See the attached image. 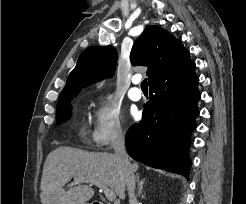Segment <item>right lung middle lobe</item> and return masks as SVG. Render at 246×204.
Masks as SVG:
<instances>
[{
	"label": "right lung middle lobe",
	"instance_id": "right-lung-middle-lobe-1",
	"mask_svg": "<svg viewBox=\"0 0 246 204\" xmlns=\"http://www.w3.org/2000/svg\"><path fill=\"white\" fill-rule=\"evenodd\" d=\"M74 96L59 99L56 109V123L66 122L71 117L70 101Z\"/></svg>",
	"mask_w": 246,
	"mask_h": 204
}]
</instances>
